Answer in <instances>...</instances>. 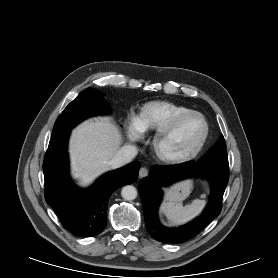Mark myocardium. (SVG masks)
Returning a JSON list of instances; mask_svg holds the SVG:
<instances>
[{"mask_svg": "<svg viewBox=\"0 0 278 278\" xmlns=\"http://www.w3.org/2000/svg\"><path fill=\"white\" fill-rule=\"evenodd\" d=\"M190 117H198L204 125L203 133L197 144L185 152H172L167 148V144L180 125ZM209 123L206 117L198 111H189L176 117L168 126L158 131L153 139V151L163 162L169 164H179L194 159L203 149L209 136Z\"/></svg>", "mask_w": 278, "mask_h": 278, "instance_id": "f54148a6", "label": "myocardium"}]
</instances>
